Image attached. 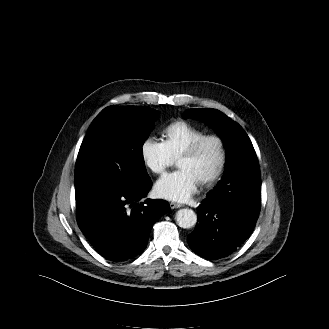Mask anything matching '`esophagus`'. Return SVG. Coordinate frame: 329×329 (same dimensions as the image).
I'll return each mask as SVG.
<instances>
[{
	"instance_id": "34e87169",
	"label": "esophagus",
	"mask_w": 329,
	"mask_h": 329,
	"mask_svg": "<svg viewBox=\"0 0 329 329\" xmlns=\"http://www.w3.org/2000/svg\"><path fill=\"white\" fill-rule=\"evenodd\" d=\"M169 205H170V208H171V209H176V208H180V207H182L181 204H179V203H175V202H171Z\"/></svg>"
}]
</instances>
